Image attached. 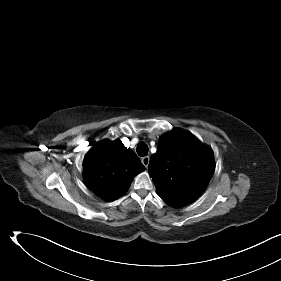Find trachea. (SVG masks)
<instances>
[{
	"label": "trachea",
	"instance_id": "obj_1",
	"mask_svg": "<svg viewBox=\"0 0 281 281\" xmlns=\"http://www.w3.org/2000/svg\"><path fill=\"white\" fill-rule=\"evenodd\" d=\"M136 151L139 156L144 157L148 154V146L146 143L141 142L138 144Z\"/></svg>",
	"mask_w": 281,
	"mask_h": 281
}]
</instances>
